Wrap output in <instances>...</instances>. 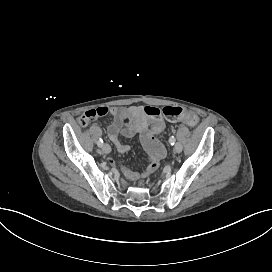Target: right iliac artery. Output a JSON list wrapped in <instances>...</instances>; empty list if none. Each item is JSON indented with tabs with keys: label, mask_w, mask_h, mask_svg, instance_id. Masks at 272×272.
I'll return each instance as SVG.
<instances>
[{
	"label": "right iliac artery",
	"mask_w": 272,
	"mask_h": 272,
	"mask_svg": "<svg viewBox=\"0 0 272 272\" xmlns=\"http://www.w3.org/2000/svg\"><path fill=\"white\" fill-rule=\"evenodd\" d=\"M97 145L99 146V147H102V145H103V140L100 138V140L97 142Z\"/></svg>",
	"instance_id": "right-iliac-artery-1"
}]
</instances>
